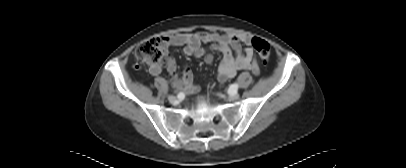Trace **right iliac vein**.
<instances>
[{"instance_id": "63e3f726", "label": "right iliac vein", "mask_w": 406, "mask_h": 168, "mask_svg": "<svg viewBox=\"0 0 406 168\" xmlns=\"http://www.w3.org/2000/svg\"><path fill=\"white\" fill-rule=\"evenodd\" d=\"M168 100H169V102L174 103L177 100V98L174 95H169Z\"/></svg>"}]
</instances>
